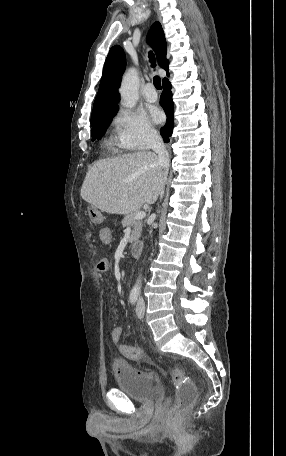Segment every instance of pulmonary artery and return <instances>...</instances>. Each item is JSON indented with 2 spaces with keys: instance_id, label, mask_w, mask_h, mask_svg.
I'll list each match as a JSON object with an SVG mask.
<instances>
[{
  "instance_id": "1",
  "label": "pulmonary artery",
  "mask_w": 286,
  "mask_h": 456,
  "mask_svg": "<svg viewBox=\"0 0 286 456\" xmlns=\"http://www.w3.org/2000/svg\"><path fill=\"white\" fill-rule=\"evenodd\" d=\"M143 97L148 102H155L157 100L158 96L153 84L148 83L145 85L143 89Z\"/></svg>"
}]
</instances>
